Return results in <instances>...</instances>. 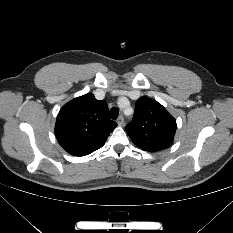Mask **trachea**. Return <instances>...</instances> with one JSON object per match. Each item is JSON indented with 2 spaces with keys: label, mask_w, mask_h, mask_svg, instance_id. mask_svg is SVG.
Segmentation results:
<instances>
[{
  "label": "trachea",
  "mask_w": 233,
  "mask_h": 233,
  "mask_svg": "<svg viewBox=\"0 0 233 233\" xmlns=\"http://www.w3.org/2000/svg\"><path fill=\"white\" fill-rule=\"evenodd\" d=\"M118 115H119V111L116 107H113L110 109L109 116L111 119H114V120L117 119Z\"/></svg>",
  "instance_id": "3493384b"
}]
</instances>
